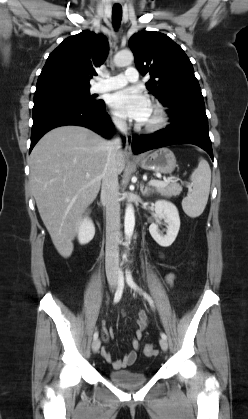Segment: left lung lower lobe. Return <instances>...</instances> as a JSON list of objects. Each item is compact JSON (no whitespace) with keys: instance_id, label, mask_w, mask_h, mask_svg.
<instances>
[{"instance_id":"0a47b994","label":"left lung lower lobe","mask_w":248,"mask_h":419,"mask_svg":"<svg viewBox=\"0 0 248 419\" xmlns=\"http://www.w3.org/2000/svg\"><path fill=\"white\" fill-rule=\"evenodd\" d=\"M169 117L172 123L167 128L154 134L133 137L132 149L134 153L171 144H194L205 150L213 159L205 107H190L171 114Z\"/></svg>"}]
</instances>
